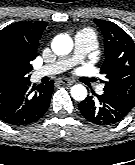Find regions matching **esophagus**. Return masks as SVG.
<instances>
[{
	"instance_id": "1",
	"label": "esophagus",
	"mask_w": 135,
	"mask_h": 165,
	"mask_svg": "<svg viewBox=\"0 0 135 165\" xmlns=\"http://www.w3.org/2000/svg\"><path fill=\"white\" fill-rule=\"evenodd\" d=\"M60 82L66 86H71L73 84V81L68 78H61Z\"/></svg>"
}]
</instances>
